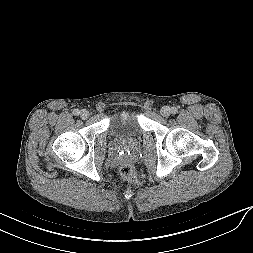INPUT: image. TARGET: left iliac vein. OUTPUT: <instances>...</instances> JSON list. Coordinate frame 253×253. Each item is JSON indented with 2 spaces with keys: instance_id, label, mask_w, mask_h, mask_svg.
Masks as SVG:
<instances>
[{
  "instance_id": "obj_1",
  "label": "left iliac vein",
  "mask_w": 253,
  "mask_h": 253,
  "mask_svg": "<svg viewBox=\"0 0 253 253\" xmlns=\"http://www.w3.org/2000/svg\"><path fill=\"white\" fill-rule=\"evenodd\" d=\"M160 112L163 117H168L171 114V109L169 106H163Z\"/></svg>"
}]
</instances>
